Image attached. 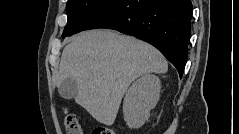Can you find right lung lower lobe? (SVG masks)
<instances>
[{"label":"right lung lower lobe","instance_id":"98d812e1","mask_svg":"<svg viewBox=\"0 0 239 134\" xmlns=\"http://www.w3.org/2000/svg\"><path fill=\"white\" fill-rule=\"evenodd\" d=\"M190 0H117L95 16L83 30L114 29L155 46L181 77L191 32Z\"/></svg>","mask_w":239,"mask_h":134}]
</instances>
